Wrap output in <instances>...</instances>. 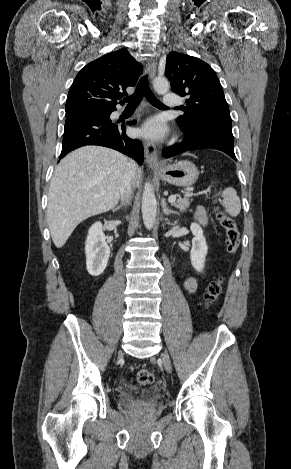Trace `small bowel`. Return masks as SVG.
<instances>
[{"label": "small bowel", "instance_id": "obj_1", "mask_svg": "<svg viewBox=\"0 0 291 469\" xmlns=\"http://www.w3.org/2000/svg\"><path fill=\"white\" fill-rule=\"evenodd\" d=\"M196 218L197 220L202 223V224H206L207 222V217H206V214L203 210V208H198L197 212H196ZM196 286H197V283H196V280L192 277H187L185 280H184V287L186 288V290L189 292V293H192L195 291L196 289Z\"/></svg>", "mask_w": 291, "mask_h": 469}]
</instances>
